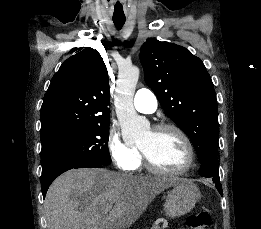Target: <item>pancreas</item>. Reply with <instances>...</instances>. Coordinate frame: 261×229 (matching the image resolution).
<instances>
[{
	"label": "pancreas",
	"instance_id": "obj_1",
	"mask_svg": "<svg viewBox=\"0 0 261 229\" xmlns=\"http://www.w3.org/2000/svg\"><path fill=\"white\" fill-rule=\"evenodd\" d=\"M152 229H160V227H158V225H153Z\"/></svg>",
	"mask_w": 261,
	"mask_h": 229
}]
</instances>
